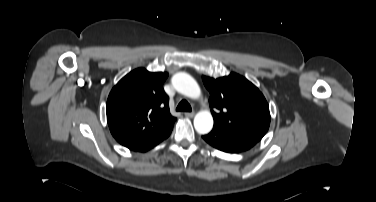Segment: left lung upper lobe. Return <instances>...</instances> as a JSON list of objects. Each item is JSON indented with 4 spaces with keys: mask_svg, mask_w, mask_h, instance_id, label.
Here are the masks:
<instances>
[{
    "mask_svg": "<svg viewBox=\"0 0 376 202\" xmlns=\"http://www.w3.org/2000/svg\"><path fill=\"white\" fill-rule=\"evenodd\" d=\"M210 92L209 103L214 126L239 133L254 140H261L270 125L268 103L259 89L243 76L213 79L203 76Z\"/></svg>",
    "mask_w": 376,
    "mask_h": 202,
    "instance_id": "1",
    "label": "left lung upper lobe"
}]
</instances>
